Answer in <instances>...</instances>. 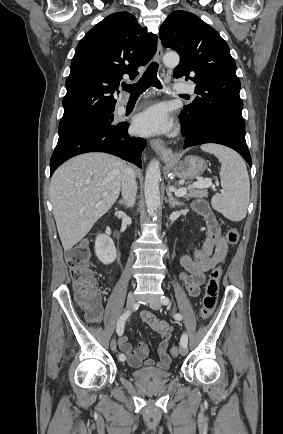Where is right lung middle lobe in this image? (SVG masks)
<instances>
[{
    "label": "right lung middle lobe",
    "instance_id": "1",
    "mask_svg": "<svg viewBox=\"0 0 283 434\" xmlns=\"http://www.w3.org/2000/svg\"><path fill=\"white\" fill-rule=\"evenodd\" d=\"M113 111H106L102 113H98L95 115L78 117V118H67L61 119L59 124V136L63 135L73 129L96 123H113Z\"/></svg>",
    "mask_w": 283,
    "mask_h": 434
}]
</instances>
